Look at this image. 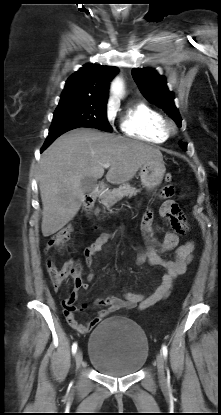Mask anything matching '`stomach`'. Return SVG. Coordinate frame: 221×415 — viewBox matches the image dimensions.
Returning a JSON list of instances; mask_svg holds the SVG:
<instances>
[{
    "instance_id": "stomach-1",
    "label": "stomach",
    "mask_w": 221,
    "mask_h": 415,
    "mask_svg": "<svg viewBox=\"0 0 221 415\" xmlns=\"http://www.w3.org/2000/svg\"><path fill=\"white\" fill-rule=\"evenodd\" d=\"M165 171L162 159H153L143 164L139 173L143 187L147 190L158 187L162 183Z\"/></svg>"
}]
</instances>
